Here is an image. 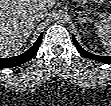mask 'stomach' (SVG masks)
Masks as SVG:
<instances>
[{
	"label": "stomach",
	"instance_id": "stomach-1",
	"mask_svg": "<svg viewBox=\"0 0 111 106\" xmlns=\"http://www.w3.org/2000/svg\"><path fill=\"white\" fill-rule=\"evenodd\" d=\"M102 3H103V1H94V2H93V4H94L95 6H101Z\"/></svg>",
	"mask_w": 111,
	"mask_h": 106
}]
</instances>
